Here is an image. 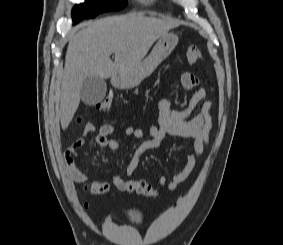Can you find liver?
<instances>
[{"mask_svg": "<svg viewBox=\"0 0 283 245\" xmlns=\"http://www.w3.org/2000/svg\"><path fill=\"white\" fill-rule=\"evenodd\" d=\"M178 23L142 15L116 16L86 23L69 41L59 92L61 127L65 130L80 103L89 76L115 78L138 65L153 43ZM115 54L114 62L110 59Z\"/></svg>", "mask_w": 283, "mask_h": 245, "instance_id": "1", "label": "liver"}]
</instances>
